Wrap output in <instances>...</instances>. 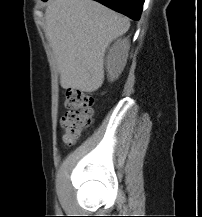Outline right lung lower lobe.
<instances>
[{
    "label": "right lung lower lobe",
    "instance_id": "right-lung-lower-lobe-1",
    "mask_svg": "<svg viewBox=\"0 0 202 217\" xmlns=\"http://www.w3.org/2000/svg\"><path fill=\"white\" fill-rule=\"evenodd\" d=\"M122 13L133 20H139L145 0H95Z\"/></svg>",
    "mask_w": 202,
    "mask_h": 217
}]
</instances>
